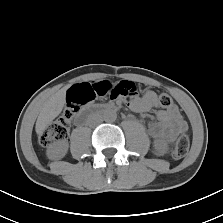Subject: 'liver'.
I'll list each match as a JSON object with an SVG mask.
<instances>
[{
  "label": "liver",
  "instance_id": "6515ba94",
  "mask_svg": "<svg viewBox=\"0 0 223 223\" xmlns=\"http://www.w3.org/2000/svg\"><path fill=\"white\" fill-rule=\"evenodd\" d=\"M67 87L60 89L44 104L36 121V133L42 135L51 122L61 113L66 98Z\"/></svg>",
  "mask_w": 223,
  "mask_h": 223
}]
</instances>
